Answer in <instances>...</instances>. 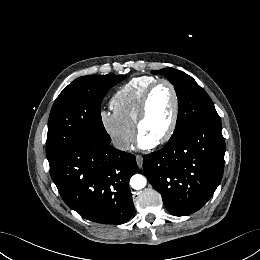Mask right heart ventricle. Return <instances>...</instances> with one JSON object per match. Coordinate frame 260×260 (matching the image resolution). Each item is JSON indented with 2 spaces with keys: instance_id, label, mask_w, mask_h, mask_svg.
<instances>
[{
  "instance_id": "e07e8e85",
  "label": "right heart ventricle",
  "mask_w": 260,
  "mask_h": 260,
  "mask_svg": "<svg viewBox=\"0 0 260 260\" xmlns=\"http://www.w3.org/2000/svg\"><path fill=\"white\" fill-rule=\"evenodd\" d=\"M156 80L157 78L152 76L132 78L111 97L112 109L127 122L135 125L142 98Z\"/></svg>"
}]
</instances>
